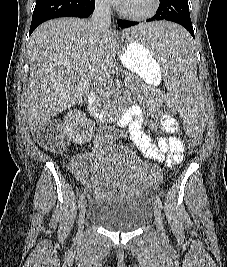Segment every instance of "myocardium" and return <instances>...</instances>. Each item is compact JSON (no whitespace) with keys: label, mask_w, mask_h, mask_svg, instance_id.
Here are the masks:
<instances>
[{"label":"myocardium","mask_w":227,"mask_h":267,"mask_svg":"<svg viewBox=\"0 0 227 267\" xmlns=\"http://www.w3.org/2000/svg\"><path fill=\"white\" fill-rule=\"evenodd\" d=\"M160 3H161V0H151L150 8L147 11L141 12V13L129 11L125 9L124 7H121L119 12L123 17L127 19L135 20V21H142V20H146L154 16L160 7Z\"/></svg>","instance_id":"f54148a6"}]
</instances>
